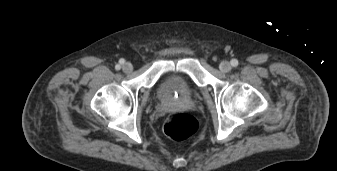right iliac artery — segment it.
<instances>
[{"label":"right iliac artery","instance_id":"1","mask_svg":"<svg viewBox=\"0 0 337 171\" xmlns=\"http://www.w3.org/2000/svg\"><path fill=\"white\" fill-rule=\"evenodd\" d=\"M119 62H120V64H123V63H124V60L121 59ZM115 69H116V70H119V69H120V65H116V66H115Z\"/></svg>","mask_w":337,"mask_h":171}]
</instances>
